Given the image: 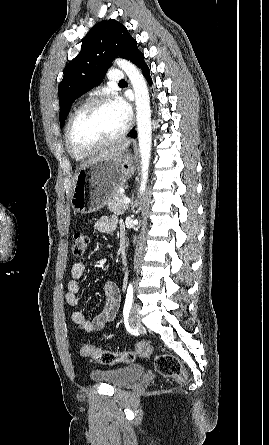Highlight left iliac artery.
Listing matches in <instances>:
<instances>
[{
	"label": "left iliac artery",
	"mask_w": 269,
	"mask_h": 445,
	"mask_svg": "<svg viewBox=\"0 0 269 445\" xmlns=\"http://www.w3.org/2000/svg\"><path fill=\"white\" fill-rule=\"evenodd\" d=\"M133 302V285L130 283L127 288V294L123 309V315L128 316Z\"/></svg>",
	"instance_id": "1"
}]
</instances>
